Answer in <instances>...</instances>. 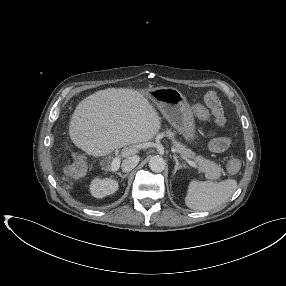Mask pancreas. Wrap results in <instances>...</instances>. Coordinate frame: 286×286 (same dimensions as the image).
Listing matches in <instances>:
<instances>
[{
	"label": "pancreas",
	"instance_id": "pancreas-1",
	"mask_svg": "<svg viewBox=\"0 0 286 286\" xmlns=\"http://www.w3.org/2000/svg\"><path fill=\"white\" fill-rule=\"evenodd\" d=\"M163 136H167L173 141V147L179 154L194 159L197 162L199 171L205 173V177L207 179H218L221 176L222 168L218 164H216L214 161L205 159L202 156H195L190 149L186 148V146L175 140L173 132L167 130L165 133H163Z\"/></svg>",
	"mask_w": 286,
	"mask_h": 286
}]
</instances>
